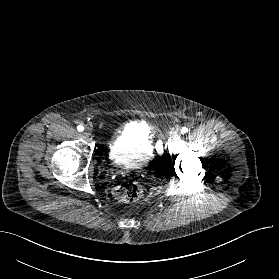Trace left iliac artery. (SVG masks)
<instances>
[{
    "instance_id": "obj_1",
    "label": "left iliac artery",
    "mask_w": 279,
    "mask_h": 279,
    "mask_svg": "<svg viewBox=\"0 0 279 279\" xmlns=\"http://www.w3.org/2000/svg\"><path fill=\"white\" fill-rule=\"evenodd\" d=\"M188 132V128L187 127H183L182 128V133H187Z\"/></svg>"
}]
</instances>
